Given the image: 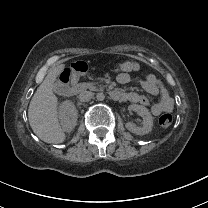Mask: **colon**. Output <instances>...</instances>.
<instances>
[{
    "label": "colon",
    "mask_w": 208,
    "mask_h": 208,
    "mask_svg": "<svg viewBox=\"0 0 208 208\" xmlns=\"http://www.w3.org/2000/svg\"><path fill=\"white\" fill-rule=\"evenodd\" d=\"M75 75L85 74L87 70V63L83 60H77L72 65ZM113 70L118 75L135 73L138 71L137 61L132 58L120 59L113 67ZM173 122V117L170 113H164L159 118V125L163 128L170 127Z\"/></svg>",
    "instance_id": "obj_1"
}]
</instances>
